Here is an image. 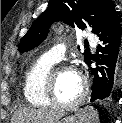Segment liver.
<instances>
[{"label": "liver", "mask_w": 122, "mask_h": 123, "mask_svg": "<svg viewBox=\"0 0 122 123\" xmlns=\"http://www.w3.org/2000/svg\"><path fill=\"white\" fill-rule=\"evenodd\" d=\"M64 111L36 108H20L12 116L11 123H55Z\"/></svg>", "instance_id": "obj_1"}]
</instances>
